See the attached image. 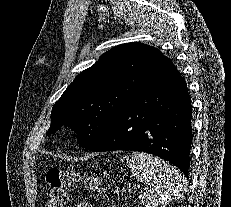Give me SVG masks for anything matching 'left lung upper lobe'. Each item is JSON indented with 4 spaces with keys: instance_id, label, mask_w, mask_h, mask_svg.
Returning <instances> with one entry per match:
<instances>
[{
    "instance_id": "obj_1",
    "label": "left lung upper lobe",
    "mask_w": 231,
    "mask_h": 207,
    "mask_svg": "<svg viewBox=\"0 0 231 207\" xmlns=\"http://www.w3.org/2000/svg\"><path fill=\"white\" fill-rule=\"evenodd\" d=\"M162 57L158 49L141 43L122 44L104 53L54 104L47 134L68 126L77 133L79 145L90 148L145 88Z\"/></svg>"
}]
</instances>
